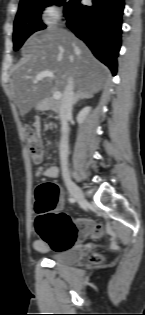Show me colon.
Listing matches in <instances>:
<instances>
[{
    "label": "colon",
    "instance_id": "1",
    "mask_svg": "<svg viewBox=\"0 0 145 315\" xmlns=\"http://www.w3.org/2000/svg\"><path fill=\"white\" fill-rule=\"evenodd\" d=\"M25 136L30 155L34 162L43 156L42 143L36 130L27 126ZM60 189L54 182H44L36 188L35 211L36 232L47 245L55 250L72 247L79 239L97 236L101 228L85 218L73 220L59 211Z\"/></svg>",
    "mask_w": 145,
    "mask_h": 315
}]
</instances>
